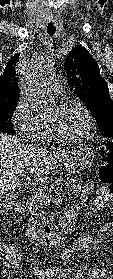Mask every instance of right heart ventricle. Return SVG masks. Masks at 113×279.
I'll return each instance as SVG.
<instances>
[{
    "instance_id": "e07e8e85",
    "label": "right heart ventricle",
    "mask_w": 113,
    "mask_h": 279,
    "mask_svg": "<svg viewBox=\"0 0 113 279\" xmlns=\"http://www.w3.org/2000/svg\"><path fill=\"white\" fill-rule=\"evenodd\" d=\"M44 124V123H43ZM44 127H45V131H44V134H43V136H48V134H49V130H48V128H47V126L44 124Z\"/></svg>"
}]
</instances>
